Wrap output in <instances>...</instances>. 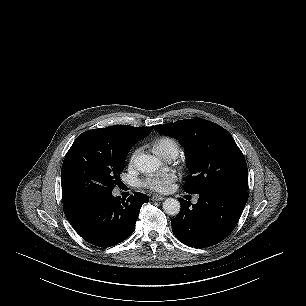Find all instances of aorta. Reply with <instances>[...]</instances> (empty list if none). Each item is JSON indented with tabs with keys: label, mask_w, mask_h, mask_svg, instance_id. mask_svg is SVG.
Wrapping results in <instances>:
<instances>
[{
	"label": "aorta",
	"mask_w": 306,
	"mask_h": 306,
	"mask_svg": "<svg viewBox=\"0 0 306 306\" xmlns=\"http://www.w3.org/2000/svg\"><path fill=\"white\" fill-rule=\"evenodd\" d=\"M160 165L161 161L150 154H142L136 160L138 170L145 174L155 173ZM163 210L168 215H177L180 212V202L174 198H167L163 202Z\"/></svg>",
	"instance_id": "1"
}]
</instances>
